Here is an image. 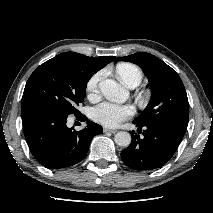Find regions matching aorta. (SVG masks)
<instances>
[{
    "label": "aorta",
    "instance_id": "1",
    "mask_svg": "<svg viewBox=\"0 0 213 213\" xmlns=\"http://www.w3.org/2000/svg\"><path fill=\"white\" fill-rule=\"evenodd\" d=\"M99 89L103 96L112 101H123L126 98V90L115 80L105 79L99 83ZM115 143L120 147H128L131 144V135L120 131L114 136Z\"/></svg>",
    "mask_w": 213,
    "mask_h": 213
}]
</instances>
